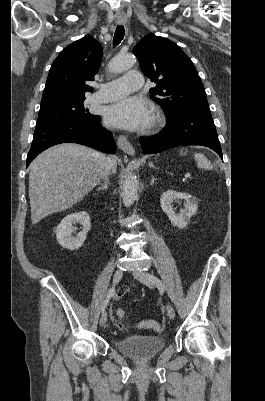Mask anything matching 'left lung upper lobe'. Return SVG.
<instances>
[{"instance_id":"left-lung-upper-lobe-1","label":"left lung upper lobe","mask_w":265,"mask_h":401,"mask_svg":"<svg viewBox=\"0 0 265 401\" xmlns=\"http://www.w3.org/2000/svg\"><path fill=\"white\" fill-rule=\"evenodd\" d=\"M132 51L143 73L156 83L150 89L151 98L162 106L167 118L189 110L210 111L194 64L176 43L149 34Z\"/></svg>"}]
</instances>
